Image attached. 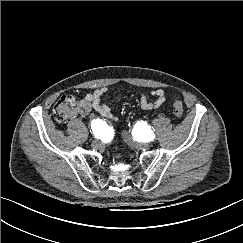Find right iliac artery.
I'll return each instance as SVG.
<instances>
[{
  "label": "right iliac artery",
  "mask_w": 243,
  "mask_h": 243,
  "mask_svg": "<svg viewBox=\"0 0 243 243\" xmlns=\"http://www.w3.org/2000/svg\"><path fill=\"white\" fill-rule=\"evenodd\" d=\"M106 128V124L101 120H94L92 122V130L96 138H100L102 131Z\"/></svg>",
  "instance_id": "82829eb1"
}]
</instances>
